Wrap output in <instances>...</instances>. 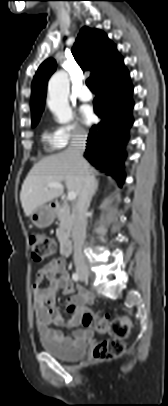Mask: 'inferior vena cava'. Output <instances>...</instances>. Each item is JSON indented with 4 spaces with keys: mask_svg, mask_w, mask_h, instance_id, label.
Segmentation results:
<instances>
[{
    "mask_svg": "<svg viewBox=\"0 0 168 406\" xmlns=\"http://www.w3.org/2000/svg\"><path fill=\"white\" fill-rule=\"evenodd\" d=\"M87 135L84 133L75 134L67 151L70 152L81 166L82 188L78 195L76 209L73 218V257L77 268H85V260L82 248L86 238L87 217L86 213L95 190L96 180L92 170L83 158Z\"/></svg>",
    "mask_w": 168,
    "mask_h": 406,
    "instance_id": "inferior-vena-cava-1",
    "label": "inferior vena cava"
}]
</instances>
